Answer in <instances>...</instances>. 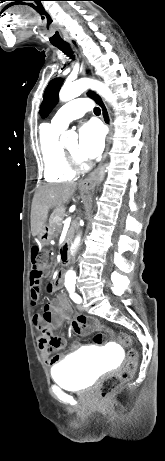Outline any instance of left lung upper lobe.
Here are the masks:
<instances>
[{
  "instance_id": "left-lung-upper-lobe-1",
  "label": "left lung upper lobe",
  "mask_w": 165,
  "mask_h": 461,
  "mask_svg": "<svg viewBox=\"0 0 165 461\" xmlns=\"http://www.w3.org/2000/svg\"><path fill=\"white\" fill-rule=\"evenodd\" d=\"M61 79L56 78L50 81L45 92L44 99L40 108V115L42 118H45L50 113L51 109L54 107L58 100V92L61 87Z\"/></svg>"
}]
</instances>
